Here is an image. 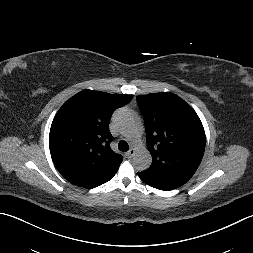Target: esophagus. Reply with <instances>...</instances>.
Masks as SVG:
<instances>
[{"mask_svg": "<svg viewBox=\"0 0 253 253\" xmlns=\"http://www.w3.org/2000/svg\"><path fill=\"white\" fill-rule=\"evenodd\" d=\"M134 152H135L134 149L131 148V149L126 153V156H127L128 158H131V157L133 156Z\"/></svg>", "mask_w": 253, "mask_h": 253, "instance_id": "obj_1", "label": "esophagus"}]
</instances>
